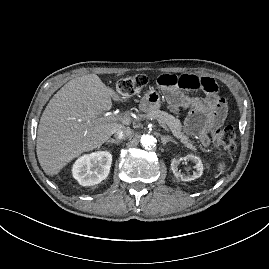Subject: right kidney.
Returning a JSON list of instances; mask_svg holds the SVG:
<instances>
[{
	"mask_svg": "<svg viewBox=\"0 0 269 269\" xmlns=\"http://www.w3.org/2000/svg\"><path fill=\"white\" fill-rule=\"evenodd\" d=\"M111 163L112 155L109 152H93L76 160L72 174L80 185L92 186L107 178Z\"/></svg>",
	"mask_w": 269,
	"mask_h": 269,
	"instance_id": "obj_1",
	"label": "right kidney"
}]
</instances>
